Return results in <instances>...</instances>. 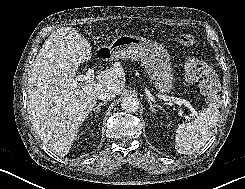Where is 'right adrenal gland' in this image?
I'll return each mask as SVG.
<instances>
[{"label": "right adrenal gland", "instance_id": "1", "mask_svg": "<svg viewBox=\"0 0 245 189\" xmlns=\"http://www.w3.org/2000/svg\"><path fill=\"white\" fill-rule=\"evenodd\" d=\"M106 104H107V102L99 103L96 107L92 108L90 115L92 116V112H95V111H97V113H99L101 111V107L106 105Z\"/></svg>", "mask_w": 245, "mask_h": 189}]
</instances>
